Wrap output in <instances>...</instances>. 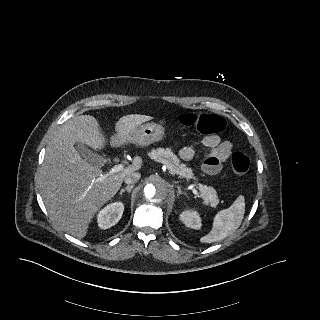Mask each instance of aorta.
<instances>
[{
    "label": "aorta",
    "mask_w": 320,
    "mask_h": 320,
    "mask_svg": "<svg viewBox=\"0 0 320 320\" xmlns=\"http://www.w3.org/2000/svg\"><path fill=\"white\" fill-rule=\"evenodd\" d=\"M172 195L170 186L160 177L149 180L142 191L143 202L154 208H159Z\"/></svg>",
    "instance_id": "obj_1"
}]
</instances>
